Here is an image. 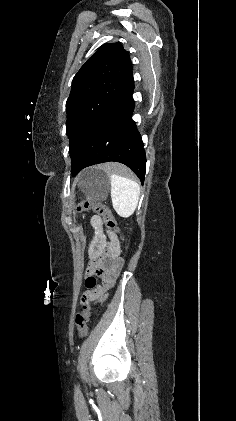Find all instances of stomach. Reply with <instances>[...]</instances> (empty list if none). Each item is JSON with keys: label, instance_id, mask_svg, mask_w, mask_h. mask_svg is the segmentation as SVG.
<instances>
[{"label": "stomach", "instance_id": "obj_1", "mask_svg": "<svg viewBox=\"0 0 236 421\" xmlns=\"http://www.w3.org/2000/svg\"><path fill=\"white\" fill-rule=\"evenodd\" d=\"M110 176L100 168V166H91L82 172L79 178V186L82 188L85 196L90 200H105L108 196Z\"/></svg>", "mask_w": 236, "mask_h": 421}]
</instances>
